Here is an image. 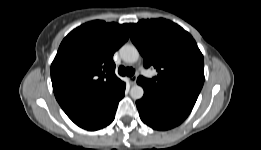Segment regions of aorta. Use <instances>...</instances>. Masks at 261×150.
<instances>
[{"label":"aorta","instance_id":"762f6f07","mask_svg":"<svg viewBox=\"0 0 261 150\" xmlns=\"http://www.w3.org/2000/svg\"><path fill=\"white\" fill-rule=\"evenodd\" d=\"M120 56L126 63H134L139 58V52L134 45L125 44L120 48ZM144 95V90L140 85H134L130 89V96L134 100L141 99Z\"/></svg>","mask_w":261,"mask_h":150}]
</instances>
